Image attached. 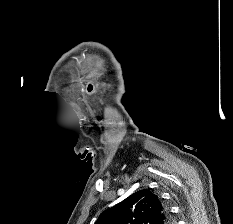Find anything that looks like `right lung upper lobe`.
Returning <instances> with one entry per match:
<instances>
[{"mask_svg": "<svg viewBox=\"0 0 233 224\" xmlns=\"http://www.w3.org/2000/svg\"><path fill=\"white\" fill-rule=\"evenodd\" d=\"M173 220L157 195L140 190L104 211L95 224H172Z\"/></svg>", "mask_w": 233, "mask_h": 224, "instance_id": "1", "label": "right lung upper lobe"}]
</instances>
